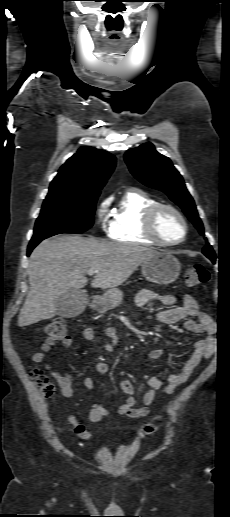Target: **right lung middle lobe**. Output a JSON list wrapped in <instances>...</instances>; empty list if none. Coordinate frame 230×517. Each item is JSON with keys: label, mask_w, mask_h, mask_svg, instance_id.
Wrapping results in <instances>:
<instances>
[{"label": "right lung middle lobe", "mask_w": 230, "mask_h": 517, "mask_svg": "<svg viewBox=\"0 0 230 517\" xmlns=\"http://www.w3.org/2000/svg\"><path fill=\"white\" fill-rule=\"evenodd\" d=\"M99 194L46 197L30 242L61 233H82L91 228Z\"/></svg>", "instance_id": "obj_1"}]
</instances>
